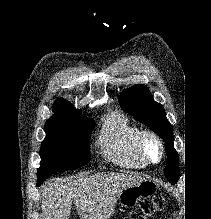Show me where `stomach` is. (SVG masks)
I'll list each match as a JSON object with an SVG mask.
<instances>
[{"mask_svg":"<svg viewBox=\"0 0 211 219\" xmlns=\"http://www.w3.org/2000/svg\"><path fill=\"white\" fill-rule=\"evenodd\" d=\"M158 189L156 183L144 180L136 186L124 189L118 196V202L122 207H134L141 199L154 194Z\"/></svg>","mask_w":211,"mask_h":219,"instance_id":"stomach-1","label":"stomach"}]
</instances>
